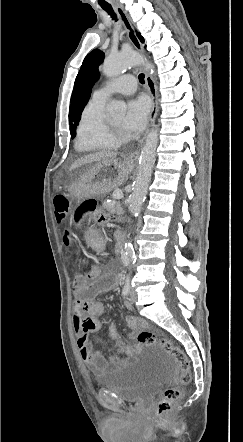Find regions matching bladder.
I'll use <instances>...</instances> for the list:
<instances>
[{"instance_id":"1","label":"bladder","mask_w":243,"mask_h":442,"mask_svg":"<svg viewBox=\"0 0 243 442\" xmlns=\"http://www.w3.org/2000/svg\"><path fill=\"white\" fill-rule=\"evenodd\" d=\"M177 364L166 355L155 352L147 359L136 360L130 366L106 373L97 379V384L122 400L142 401L174 380Z\"/></svg>"}]
</instances>
